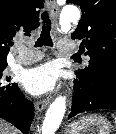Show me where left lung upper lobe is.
Returning a JSON list of instances; mask_svg holds the SVG:
<instances>
[{"label": "left lung upper lobe", "instance_id": "left-lung-upper-lobe-1", "mask_svg": "<svg viewBox=\"0 0 116 134\" xmlns=\"http://www.w3.org/2000/svg\"><path fill=\"white\" fill-rule=\"evenodd\" d=\"M67 3L82 9L72 38L83 40L90 61L75 74L91 88L103 76L116 73V0H67Z\"/></svg>", "mask_w": 116, "mask_h": 134}]
</instances>
